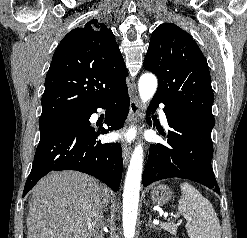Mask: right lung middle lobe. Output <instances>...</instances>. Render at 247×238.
Segmentation results:
<instances>
[{"mask_svg": "<svg viewBox=\"0 0 247 238\" xmlns=\"http://www.w3.org/2000/svg\"><path fill=\"white\" fill-rule=\"evenodd\" d=\"M78 117L77 114H70V115H65V116H59L43 121H39V128L41 135H44L54 129H57L66 123L76 119Z\"/></svg>", "mask_w": 247, "mask_h": 238, "instance_id": "right-lung-middle-lobe-1", "label": "right lung middle lobe"}]
</instances>
